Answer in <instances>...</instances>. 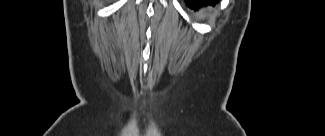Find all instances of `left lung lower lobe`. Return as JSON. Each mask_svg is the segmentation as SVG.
<instances>
[{
  "label": "left lung lower lobe",
  "instance_id": "obj_1",
  "mask_svg": "<svg viewBox=\"0 0 325 136\" xmlns=\"http://www.w3.org/2000/svg\"><path fill=\"white\" fill-rule=\"evenodd\" d=\"M186 4L190 7L197 9L202 5L215 4L217 0H185Z\"/></svg>",
  "mask_w": 325,
  "mask_h": 136
}]
</instances>
